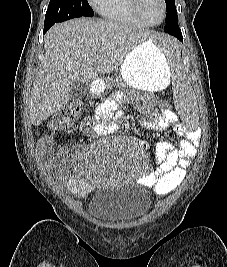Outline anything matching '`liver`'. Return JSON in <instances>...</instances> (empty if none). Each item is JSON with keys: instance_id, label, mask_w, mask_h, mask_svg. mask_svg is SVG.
<instances>
[{"instance_id": "6515ba94", "label": "liver", "mask_w": 227, "mask_h": 267, "mask_svg": "<svg viewBox=\"0 0 227 267\" xmlns=\"http://www.w3.org/2000/svg\"><path fill=\"white\" fill-rule=\"evenodd\" d=\"M155 33L115 21L73 19L54 25L44 39L45 56L30 91L29 116L39 126L69 102V88L109 74Z\"/></svg>"}]
</instances>
